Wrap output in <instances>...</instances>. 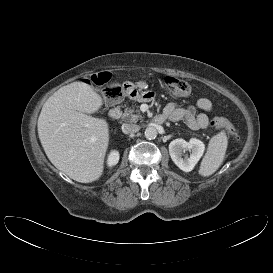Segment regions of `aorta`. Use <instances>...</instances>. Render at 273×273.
<instances>
[{
  "instance_id": "aorta-1",
  "label": "aorta",
  "mask_w": 273,
  "mask_h": 273,
  "mask_svg": "<svg viewBox=\"0 0 273 273\" xmlns=\"http://www.w3.org/2000/svg\"><path fill=\"white\" fill-rule=\"evenodd\" d=\"M145 137L149 140H153L157 137V130L154 127H147L145 129Z\"/></svg>"
}]
</instances>
